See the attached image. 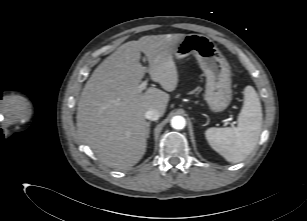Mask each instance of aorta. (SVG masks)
Masks as SVG:
<instances>
[{
  "label": "aorta",
  "mask_w": 307,
  "mask_h": 221,
  "mask_svg": "<svg viewBox=\"0 0 307 221\" xmlns=\"http://www.w3.org/2000/svg\"><path fill=\"white\" fill-rule=\"evenodd\" d=\"M186 125V120L184 117L182 116H174L171 119V126L172 128L176 129V130H181L185 127Z\"/></svg>",
  "instance_id": "aorta-1"
}]
</instances>
